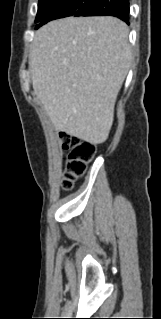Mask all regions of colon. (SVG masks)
I'll list each match as a JSON object with an SVG mask.
<instances>
[{
	"label": "colon",
	"instance_id": "colon-1",
	"mask_svg": "<svg viewBox=\"0 0 161 319\" xmlns=\"http://www.w3.org/2000/svg\"><path fill=\"white\" fill-rule=\"evenodd\" d=\"M61 141L62 146L70 151L63 175V188L70 190L84 175L87 164L95 156L96 146L94 143L67 134L61 136Z\"/></svg>",
	"mask_w": 161,
	"mask_h": 319
}]
</instances>
